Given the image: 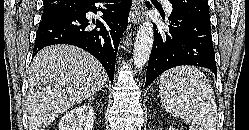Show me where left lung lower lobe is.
<instances>
[{
	"label": "left lung lower lobe",
	"mask_w": 249,
	"mask_h": 130,
	"mask_svg": "<svg viewBox=\"0 0 249 130\" xmlns=\"http://www.w3.org/2000/svg\"><path fill=\"white\" fill-rule=\"evenodd\" d=\"M169 24V32L155 28L145 87L164 71L180 65L206 67L216 75L210 23L173 10Z\"/></svg>",
	"instance_id": "obj_1"
}]
</instances>
